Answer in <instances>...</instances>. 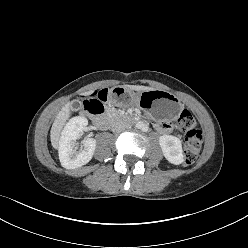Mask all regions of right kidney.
Instances as JSON below:
<instances>
[{
	"label": "right kidney",
	"mask_w": 248,
	"mask_h": 248,
	"mask_svg": "<svg viewBox=\"0 0 248 248\" xmlns=\"http://www.w3.org/2000/svg\"><path fill=\"white\" fill-rule=\"evenodd\" d=\"M85 117L77 116L69 120L64 127L59 141V159L61 165L66 169H75L87 164L93 157L96 140L85 138L83 149L77 151L75 142L81 137V132L87 126Z\"/></svg>",
	"instance_id": "right-kidney-1"
}]
</instances>
